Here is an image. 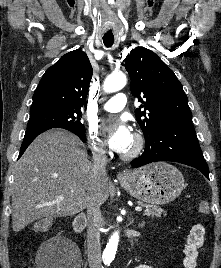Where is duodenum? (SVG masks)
Masks as SVG:
<instances>
[{
	"instance_id": "1",
	"label": "duodenum",
	"mask_w": 221,
	"mask_h": 268,
	"mask_svg": "<svg viewBox=\"0 0 221 268\" xmlns=\"http://www.w3.org/2000/svg\"><path fill=\"white\" fill-rule=\"evenodd\" d=\"M86 223H87V218L85 215H79L76 217L73 223V228L77 235H80L83 232L86 226Z\"/></svg>"
}]
</instances>
